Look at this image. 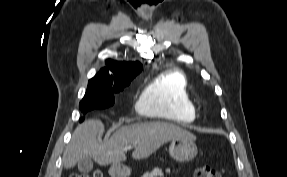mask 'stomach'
I'll return each instance as SVG.
<instances>
[{
    "mask_svg": "<svg viewBox=\"0 0 287 177\" xmlns=\"http://www.w3.org/2000/svg\"><path fill=\"white\" fill-rule=\"evenodd\" d=\"M170 156L178 162H188L193 160L198 148L191 138H178L172 140L169 147ZM111 177H127L130 174V169L120 163L112 164L109 169Z\"/></svg>",
    "mask_w": 287,
    "mask_h": 177,
    "instance_id": "0dacf381",
    "label": "stomach"
}]
</instances>
